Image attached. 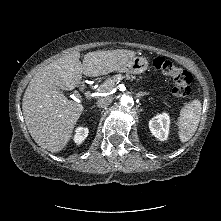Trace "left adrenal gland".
<instances>
[{"mask_svg": "<svg viewBox=\"0 0 221 221\" xmlns=\"http://www.w3.org/2000/svg\"><path fill=\"white\" fill-rule=\"evenodd\" d=\"M149 93H146V92H140V93H137V97H143L145 95H148Z\"/></svg>", "mask_w": 221, "mask_h": 221, "instance_id": "1", "label": "left adrenal gland"}]
</instances>
